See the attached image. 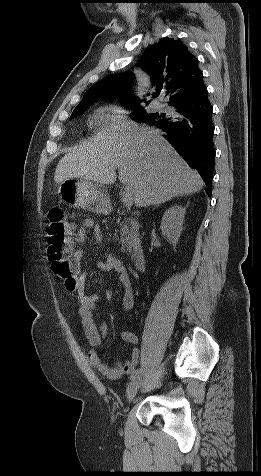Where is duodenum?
<instances>
[{
  "label": "duodenum",
  "mask_w": 261,
  "mask_h": 476,
  "mask_svg": "<svg viewBox=\"0 0 261 476\" xmlns=\"http://www.w3.org/2000/svg\"><path fill=\"white\" fill-rule=\"evenodd\" d=\"M118 213L119 215L125 214L123 210L118 211ZM131 260H132L134 268L137 271H144L146 267V259H145L144 251L141 248H136L133 250L131 254Z\"/></svg>",
  "instance_id": "410a0bca"
}]
</instances>
